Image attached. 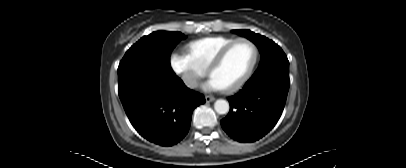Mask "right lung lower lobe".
I'll use <instances>...</instances> for the list:
<instances>
[{"label":"right lung lower lobe","instance_id":"obj_1","mask_svg":"<svg viewBox=\"0 0 406 168\" xmlns=\"http://www.w3.org/2000/svg\"><path fill=\"white\" fill-rule=\"evenodd\" d=\"M125 112L137 132L161 146H172L188 133L193 110L205 102L176 75L119 94Z\"/></svg>","mask_w":406,"mask_h":168}]
</instances>
